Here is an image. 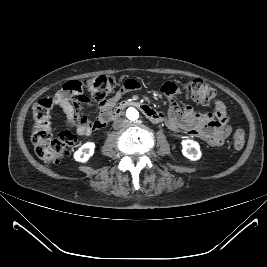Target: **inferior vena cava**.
I'll use <instances>...</instances> for the list:
<instances>
[{"mask_svg":"<svg viewBox=\"0 0 267 267\" xmlns=\"http://www.w3.org/2000/svg\"><path fill=\"white\" fill-rule=\"evenodd\" d=\"M127 124V119L125 118H118L113 123V128L118 130L122 127H124Z\"/></svg>","mask_w":267,"mask_h":267,"instance_id":"obj_1","label":"inferior vena cava"}]
</instances>
